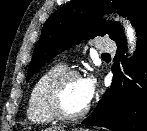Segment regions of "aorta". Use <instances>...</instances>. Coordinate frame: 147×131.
I'll return each instance as SVG.
<instances>
[{
  "label": "aorta",
  "instance_id": "aorta-1",
  "mask_svg": "<svg viewBox=\"0 0 147 131\" xmlns=\"http://www.w3.org/2000/svg\"><path fill=\"white\" fill-rule=\"evenodd\" d=\"M124 27H125L128 43L133 47L134 43H135L134 29L132 28V26L130 24L125 23V22H124Z\"/></svg>",
  "mask_w": 147,
  "mask_h": 131
}]
</instances>
